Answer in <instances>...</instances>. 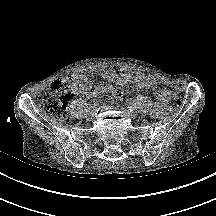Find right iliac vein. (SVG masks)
Here are the masks:
<instances>
[{"label":"right iliac vein","mask_w":216,"mask_h":216,"mask_svg":"<svg viewBox=\"0 0 216 216\" xmlns=\"http://www.w3.org/2000/svg\"><path fill=\"white\" fill-rule=\"evenodd\" d=\"M94 116H95V112L92 111V110H90V111L87 113L86 118H87L88 120H91V119L94 118Z\"/></svg>","instance_id":"right-iliac-vein-1"}]
</instances>
